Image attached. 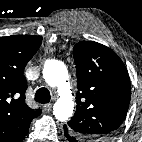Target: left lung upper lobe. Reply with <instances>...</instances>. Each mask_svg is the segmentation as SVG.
Listing matches in <instances>:
<instances>
[{
  "label": "left lung upper lobe",
  "instance_id": "obj_1",
  "mask_svg": "<svg viewBox=\"0 0 142 142\" xmlns=\"http://www.w3.org/2000/svg\"><path fill=\"white\" fill-rule=\"evenodd\" d=\"M76 112L64 125L81 142H107L125 119L131 85L127 69L110 48L80 41L74 48Z\"/></svg>",
  "mask_w": 142,
  "mask_h": 142
}]
</instances>
